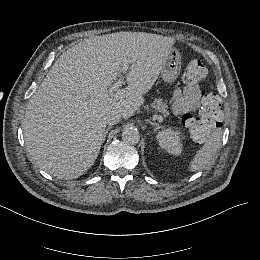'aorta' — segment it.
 Listing matches in <instances>:
<instances>
[{
	"label": "aorta",
	"mask_w": 260,
	"mask_h": 260,
	"mask_svg": "<svg viewBox=\"0 0 260 260\" xmlns=\"http://www.w3.org/2000/svg\"><path fill=\"white\" fill-rule=\"evenodd\" d=\"M122 140L128 144H137L140 140V134L137 128L127 126L122 132Z\"/></svg>",
	"instance_id": "762f6f07"
}]
</instances>
